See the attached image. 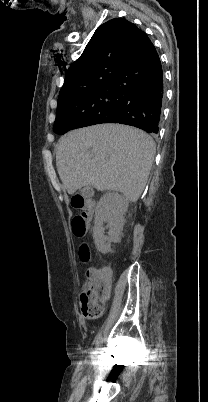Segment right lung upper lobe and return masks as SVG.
<instances>
[{"label": "right lung upper lobe", "instance_id": "obj_1", "mask_svg": "<svg viewBox=\"0 0 208 402\" xmlns=\"http://www.w3.org/2000/svg\"><path fill=\"white\" fill-rule=\"evenodd\" d=\"M146 37L123 18L100 25L80 58L68 68L59 96L101 81H114Z\"/></svg>", "mask_w": 208, "mask_h": 402}]
</instances>
